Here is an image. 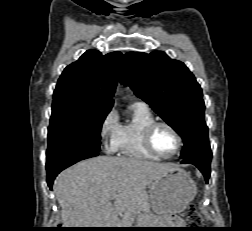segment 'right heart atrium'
Segmentation results:
<instances>
[{
  "label": "right heart atrium",
  "instance_id": "1",
  "mask_svg": "<svg viewBox=\"0 0 252 231\" xmlns=\"http://www.w3.org/2000/svg\"><path fill=\"white\" fill-rule=\"evenodd\" d=\"M120 128L119 118L115 111H109L100 124V137L110 150H115V141Z\"/></svg>",
  "mask_w": 252,
  "mask_h": 231
}]
</instances>
